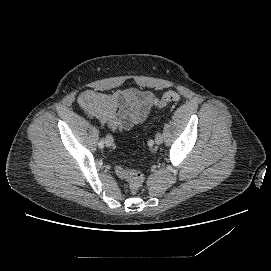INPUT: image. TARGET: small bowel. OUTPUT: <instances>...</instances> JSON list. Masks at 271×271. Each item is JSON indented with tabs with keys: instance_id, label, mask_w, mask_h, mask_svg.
<instances>
[{
	"instance_id": "obj_1",
	"label": "small bowel",
	"mask_w": 271,
	"mask_h": 271,
	"mask_svg": "<svg viewBox=\"0 0 271 271\" xmlns=\"http://www.w3.org/2000/svg\"><path fill=\"white\" fill-rule=\"evenodd\" d=\"M156 101L152 92L136 88L110 93L88 89L78 96L80 108L112 131L130 130L143 122Z\"/></svg>"
}]
</instances>
